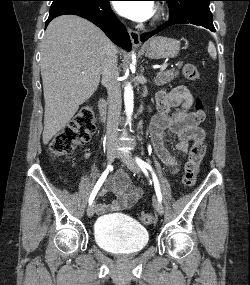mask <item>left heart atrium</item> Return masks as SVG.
Returning <instances> with one entry per match:
<instances>
[{
	"mask_svg": "<svg viewBox=\"0 0 250 285\" xmlns=\"http://www.w3.org/2000/svg\"><path fill=\"white\" fill-rule=\"evenodd\" d=\"M114 6L121 15L134 21H145L154 13L151 1H117Z\"/></svg>",
	"mask_w": 250,
	"mask_h": 285,
	"instance_id": "left-heart-atrium-1",
	"label": "left heart atrium"
}]
</instances>
